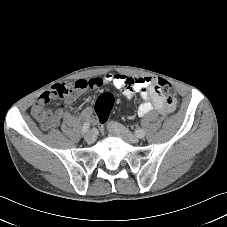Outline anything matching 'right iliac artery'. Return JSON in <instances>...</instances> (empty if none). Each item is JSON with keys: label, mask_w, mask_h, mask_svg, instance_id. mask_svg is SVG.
Segmentation results:
<instances>
[{"label": "right iliac artery", "mask_w": 227, "mask_h": 227, "mask_svg": "<svg viewBox=\"0 0 227 227\" xmlns=\"http://www.w3.org/2000/svg\"><path fill=\"white\" fill-rule=\"evenodd\" d=\"M89 127H90V122L86 121L82 127V134H85L88 131Z\"/></svg>", "instance_id": "right-iliac-artery-1"}]
</instances>
